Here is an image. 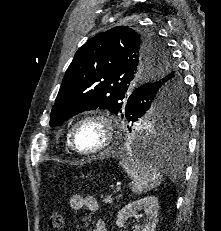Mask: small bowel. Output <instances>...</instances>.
<instances>
[{"instance_id":"c3829d8e","label":"small bowel","mask_w":221,"mask_h":231,"mask_svg":"<svg viewBox=\"0 0 221 231\" xmlns=\"http://www.w3.org/2000/svg\"><path fill=\"white\" fill-rule=\"evenodd\" d=\"M69 205L74 210L85 208L91 212H96L99 208L98 202L93 196L72 195L69 199ZM91 231H107L105 222L101 219L96 220Z\"/></svg>"}]
</instances>
